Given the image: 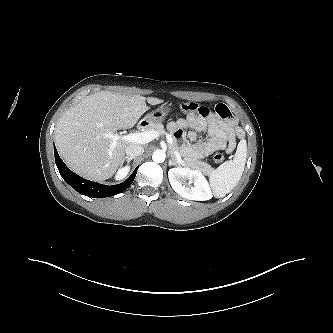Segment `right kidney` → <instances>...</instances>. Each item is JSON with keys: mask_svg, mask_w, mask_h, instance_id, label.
<instances>
[{"mask_svg": "<svg viewBox=\"0 0 333 333\" xmlns=\"http://www.w3.org/2000/svg\"><path fill=\"white\" fill-rule=\"evenodd\" d=\"M129 170H130V166H128V165H126L125 167L119 169L117 171L116 180H121V179L125 178L126 175L129 172Z\"/></svg>", "mask_w": 333, "mask_h": 333, "instance_id": "right-kidney-1", "label": "right kidney"}]
</instances>
